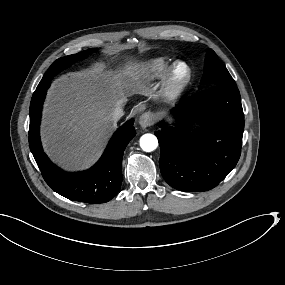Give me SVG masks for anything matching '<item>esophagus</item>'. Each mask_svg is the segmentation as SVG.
Instances as JSON below:
<instances>
[{"mask_svg": "<svg viewBox=\"0 0 285 285\" xmlns=\"http://www.w3.org/2000/svg\"><path fill=\"white\" fill-rule=\"evenodd\" d=\"M139 123L142 128H146L153 125L152 114L150 112L143 113L139 117Z\"/></svg>", "mask_w": 285, "mask_h": 285, "instance_id": "obj_1", "label": "esophagus"}]
</instances>
